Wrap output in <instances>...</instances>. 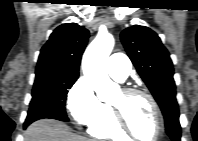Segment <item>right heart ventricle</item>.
Returning a JSON list of instances; mask_svg holds the SVG:
<instances>
[{
    "instance_id": "e07e8e85",
    "label": "right heart ventricle",
    "mask_w": 198,
    "mask_h": 141,
    "mask_svg": "<svg viewBox=\"0 0 198 141\" xmlns=\"http://www.w3.org/2000/svg\"><path fill=\"white\" fill-rule=\"evenodd\" d=\"M88 132L101 139L122 141L128 138L116 125L111 107L104 103L100 117L89 125Z\"/></svg>"
}]
</instances>
